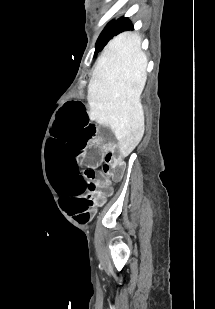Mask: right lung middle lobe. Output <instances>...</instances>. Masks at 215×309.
Returning <instances> with one entry per match:
<instances>
[{"mask_svg": "<svg viewBox=\"0 0 215 309\" xmlns=\"http://www.w3.org/2000/svg\"><path fill=\"white\" fill-rule=\"evenodd\" d=\"M121 20L122 19L111 21L106 26V28L104 29V31L102 32V34L99 36L97 40L95 55L97 54L98 51L104 48V46L113 36L119 33L121 25H122Z\"/></svg>", "mask_w": 215, "mask_h": 309, "instance_id": "dd1d6c3e", "label": "right lung middle lobe"}]
</instances>
